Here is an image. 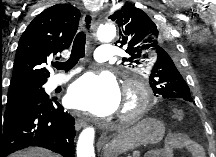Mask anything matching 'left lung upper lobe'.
Returning a JSON list of instances; mask_svg holds the SVG:
<instances>
[{
	"mask_svg": "<svg viewBox=\"0 0 216 157\" xmlns=\"http://www.w3.org/2000/svg\"><path fill=\"white\" fill-rule=\"evenodd\" d=\"M151 18L129 3L109 16L119 27L117 42L129 55L122 60L133 68L150 70L149 84L157 97L192 102L190 89L181 75L185 74V69L177 64L175 41L167 35V27H161L159 19Z\"/></svg>",
	"mask_w": 216,
	"mask_h": 157,
	"instance_id": "5c2ea615",
	"label": "left lung upper lobe"
}]
</instances>
